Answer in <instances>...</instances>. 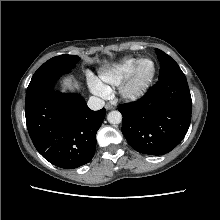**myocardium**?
I'll list each match as a JSON object with an SVG mask.
<instances>
[{"mask_svg": "<svg viewBox=\"0 0 220 220\" xmlns=\"http://www.w3.org/2000/svg\"><path fill=\"white\" fill-rule=\"evenodd\" d=\"M146 60L151 61L153 66L152 72L146 81H144L141 84H136L135 76L137 69L140 66V64ZM156 72H157V67L153 59L149 57H143L138 59L134 64V66L132 67V69L130 70L127 77L123 80V82L120 85L119 93L121 97L129 101H136L141 99L150 89L155 79Z\"/></svg>", "mask_w": 220, "mask_h": 220, "instance_id": "obj_1", "label": "myocardium"}]
</instances>
